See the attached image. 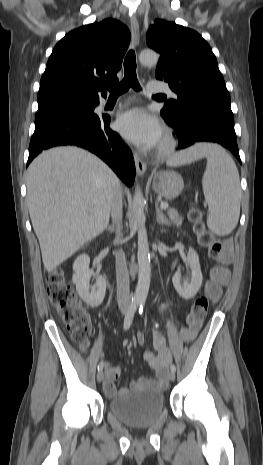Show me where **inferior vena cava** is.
<instances>
[{
  "mask_svg": "<svg viewBox=\"0 0 263 465\" xmlns=\"http://www.w3.org/2000/svg\"><path fill=\"white\" fill-rule=\"evenodd\" d=\"M111 217L113 223L116 224V239L119 243L122 238L121 220H122V192L119 189L112 200ZM116 278H117V299L120 309H127L130 305L129 291V274L126 265V257L123 250H119L116 254Z\"/></svg>",
  "mask_w": 263,
  "mask_h": 465,
  "instance_id": "602c4592",
  "label": "inferior vena cava"
}]
</instances>
